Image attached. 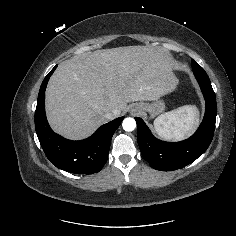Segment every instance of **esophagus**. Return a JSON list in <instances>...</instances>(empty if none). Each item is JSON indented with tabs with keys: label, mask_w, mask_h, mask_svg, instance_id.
<instances>
[{
	"label": "esophagus",
	"mask_w": 236,
	"mask_h": 236,
	"mask_svg": "<svg viewBox=\"0 0 236 236\" xmlns=\"http://www.w3.org/2000/svg\"><path fill=\"white\" fill-rule=\"evenodd\" d=\"M139 111H140V110H138V109H135V110H134V112H136V113H138Z\"/></svg>",
	"instance_id": "1"
}]
</instances>
